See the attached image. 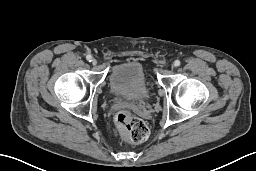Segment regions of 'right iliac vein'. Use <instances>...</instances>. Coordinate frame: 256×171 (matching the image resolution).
Returning <instances> with one entry per match:
<instances>
[{"label": "right iliac vein", "instance_id": "63e3f726", "mask_svg": "<svg viewBox=\"0 0 256 171\" xmlns=\"http://www.w3.org/2000/svg\"><path fill=\"white\" fill-rule=\"evenodd\" d=\"M91 62H92L93 65H96V64H97V60H96L95 58H93V59L91 60Z\"/></svg>", "mask_w": 256, "mask_h": 171}]
</instances>
